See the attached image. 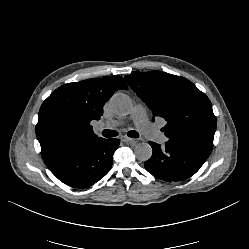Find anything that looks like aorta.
Masks as SVG:
<instances>
[{
	"label": "aorta",
	"mask_w": 249,
	"mask_h": 249,
	"mask_svg": "<svg viewBox=\"0 0 249 249\" xmlns=\"http://www.w3.org/2000/svg\"><path fill=\"white\" fill-rule=\"evenodd\" d=\"M109 104L112 111L119 116L128 115L132 110L130 97L123 93H115L111 97ZM134 154L139 161H147L152 156V148L146 142L138 143L135 146Z\"/></svg>",
	"instance_id": "1"
}]
</instances>
